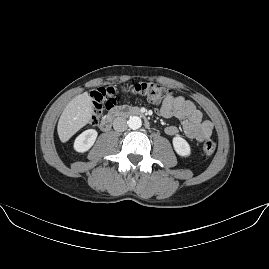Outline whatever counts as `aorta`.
I'll list each match as a JSON object with an SVG mask.
<instances>
[{
    "label": "aorta",
    "mask_w": 269,
    "mask_h": 269,
    "mask_svg": "<svg viewBox=\"0 0 269 269\" xmlns=\"http://www.w3.org/2000/svg\"><path fill=\"white\" fill-rule=\"evenodd\" d=\"M129 128L136 130L139 129L142 125V120L138 116H131L127 121Z\"/></svg>",
    "instance_id": "obj_1"
}]
</instances>
